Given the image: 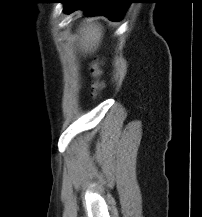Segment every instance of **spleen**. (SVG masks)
<instances>
[{
    "mask_svg": "<svg viewBox=\"0 0 202 217\" xmlns=\"http://www.w3.org/2000/svg\"><path fill=\"white\" fill-rule=\"evenodd\" d=\"M80 41L86 50L99 44L102 37V27L98 23H89L82 27L79 31Z\"/></svg>",
    "mask_w": 202,
    "mask_h": 217,
    "instance_id": "spleen-1",
    "label": "spleen"
}]
</instances>
